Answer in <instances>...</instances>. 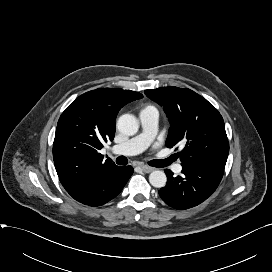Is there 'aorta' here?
<instances>
[{"mask_svg":"<svg viewBox=\"0 0 272 272\" xmlns=\"http://www.w3.org/2000/svg\"><path fill=\"white\" fill-rule=\"evenodd\" d=\"M117 128L121 134L132 136L137 133L139 123L135 116L124 114L118 119ZM149 182L153 187L162 188L167 182L166 174L163 171L155 170L149 175Z\"/></svg>","mask_w":272,"mask_h":272,"instance_id":"obj_1","label":"aorta"}]
</instances>
